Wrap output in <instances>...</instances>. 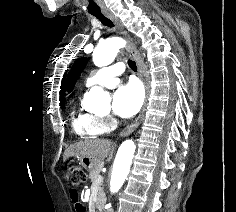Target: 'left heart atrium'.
Wrapping results in <instances>:
<instances>
[{"mask_svg":"<svg viewBox=\"0 0 236 212\" xmlns=\"http://www.w3.org/2000/svg\"><path fill=\"white\" fill-rule=\"evenodd\" d=\"M144 93L141 85L137 82H129L120 86L112 97V109L121 117H131L141 108Z\"/></svg>","mask_w":236,"mask_h":212,"instance_id":"39dd6f15","label":"left heart atrium"}]
</instances>
